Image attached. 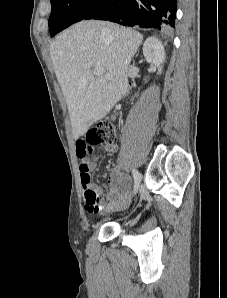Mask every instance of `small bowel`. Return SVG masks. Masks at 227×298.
I'll list each match as a JSON object with an SVG mask.
<instances>
[{
    "mask_svg": "<svg viewBox=\"0 0 227 298\" xmlns=\"http://www.w3.org/2000/svg\"><path fill=\"white\" fill-rule=\"evenodd\" d=\"M75 147L77 158L81 159L80 175L82 188L84 190L85 209L88 212H97L102 209L104 203L112 201L123 195L124 191L128 188V180L122 175L119 168L113 167L110 171V177L108 180L110 190L107 193L103 194L102 189L99 186L90 183V179L87 184H85L84 178H89V171L95 169L97 165L96 159L92 161L87 159L89 158V155H94L93 146H89L87 139H76ZM104 150L108 153H114L117 150V145H106ZM87 192L94 194L96 198L94 203L88 199Z\"/></svg>",
    "mask_w": 227,
    "mask_h": 298,
    "instance_id": "small-bowel-1",
    "label": "small bowel"
}]
</instances>
